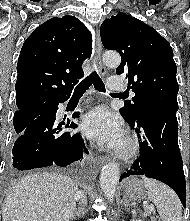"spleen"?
Here are the masks:
<instances>
[{
	"label": "spleen",
	"instance_id": "3e777b00",
	"mask_svg": "<svg viewBox=\"0 0 190 221\" xmlns=\"http://www.w3.org/2000/svg\"><path fill=\"white\" fill-rule=\"evenodd\" d=\"M148 198L156 205L162 221H182V205L176 193L161 182L143 177Z\"/></svg>",
	"mask_w": 190,
	"mask_h": 221
}]
</instances>
